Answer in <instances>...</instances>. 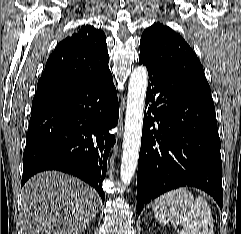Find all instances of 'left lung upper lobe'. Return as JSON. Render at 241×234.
<instances>
[{"label": "left lung upper lobe", "instance_id": "5c2ea615", "mask_svg": "<svg viewBox=\"0 0 241 234\" xmlns=\"http://www.w3.org/2000/svg\"><path fill=\"white\" fill-rule=\"evenodd\" d=\"M140 45L139 57L172 76L210 89L195 53L171 28L153 24L143 32Z\"/></svg>", "mask_w": 241, "mask_h": 234}]
</instances>
